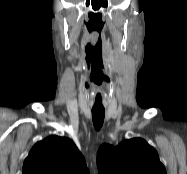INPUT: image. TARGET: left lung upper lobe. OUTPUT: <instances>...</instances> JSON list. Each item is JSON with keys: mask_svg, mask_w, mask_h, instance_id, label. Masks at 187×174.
I'll return each instance as SVG.
<instances>
[{"mask_svg": "<svg viewBox=\"0 0 187 174\" xmlns=\"http://www.w3.org/2000/svg\"><path fill=\"white\" fill-rule=\"evenodd\" d=\"M99 174H166L156 150L141 138L118 146L102 145L97 155Z\"/></svg>", "mask_w": 187, "mask_h": 174, "instance_id": "obj_1", "label": "left lung upper lobe"}]
</instances>
